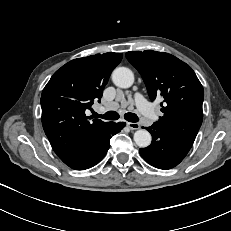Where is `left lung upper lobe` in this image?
<instances>
[{"instance_id":"1","label":"left lung upper lobe","mask_w":231,"mask_h":231,"mask_svg":"<svg viewBox=\"0 0 231 231\" xmlns=\"http://www.w3.org/2000/svg\"><path fill=\"white\" fill-rule=\"evenodd\" d=\"M126 58L141 74L151 101L163 100V116L156 124L193 144L203 120L204 99L194 71L164 52L131 51Z\"/></svg>"}]
</instances>
